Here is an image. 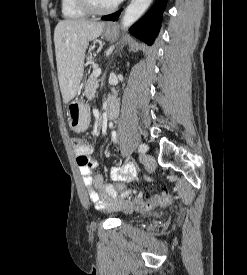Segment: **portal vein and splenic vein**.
Instances as JSON below:
<instances>
[{
	"mask_svg": "<svg viewBox=\"0 0 247 275\" xmlns=\"http://www.w3.org/2000/svg\"><path fill=\"white\" fill-rule=\"evenodd\" d=\"M92 74L95 76H99L101 74V69H95Z\"/></svg>",
	"mask_w": 247,
	"mask_h": 275,
	"instance_id": "portal-vein-and-splenic-vein-1",
	"label": "portal vein and splenic vein"
}]
</instances>
